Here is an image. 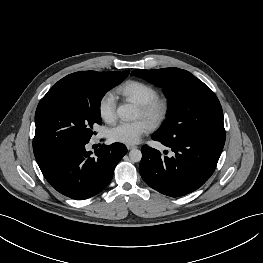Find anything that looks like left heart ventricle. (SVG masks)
<instances>
[{"mask_svg":"<svg viewBox=\"0 0 263 263\" xmlns=\"http://www.w3.org/2000/svg\"><path fill=\"white\" fill-rule=\"evenodd\" d=\"M138 117H142L141 111L138 109Z\"/></svg>","mask_w":263,"mask_h":263,"instance_id":"obj_1","label":"left heart ventricle"}]
</instances>
